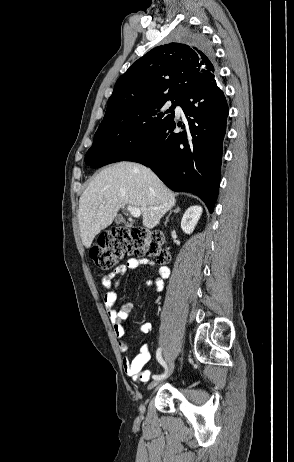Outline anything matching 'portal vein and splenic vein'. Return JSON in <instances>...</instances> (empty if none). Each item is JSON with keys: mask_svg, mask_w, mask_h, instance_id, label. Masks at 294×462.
I'll use <instances>...</instances> for the list:
<instances>
[{"mask_svg": "<svg viewBox=\"0 0 294 462\" xmlns=\"http://www.w3.org/2000/svg\"><path fill=\"white\" fill-rule=\"evenodd\" d=\"M127 210L130 212L131 216L134 218H139L141 216V210L132 206H127Z\"/></svg>", "mask_w": 294, "mask_h": 462, "instance_id": "obj_1", "label": "portal vein and splenic vein"}]
</instances>
